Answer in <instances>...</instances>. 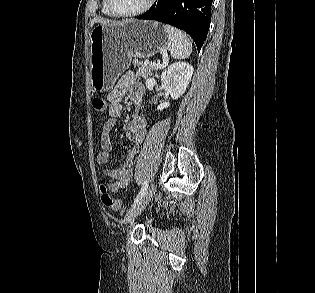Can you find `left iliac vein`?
I'll list each match as a JSON object with an SVG mask.
<instances>
[{
  "label": "left iliac vein",
  "mask_w": 315,
  "mask_h": 293,
  "mask_svg": "<svg viewBox=\"0 0 315 293\" xmlns=\"http://www.w3.org/2000/svg\"><path fill=\"white\" fill-rule=\"evenodd\" d=\"M153 194H154V186L151 185L149 189L145 192L144 196L138 202H136L130 208V210L126 213L124 217V222L126 224L131 223L137 216L141 214V212L144 210V208L147 206V204L151 200Z\"/></svg>",
  "instance_id": "4c4485c4"
}]
</instances>
